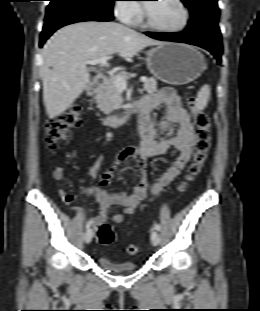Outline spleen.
<instances>
[{"instance_id": "1", "label": "spleen", "mask_w": 260, "mask_h": 311, "mask_svg": "<svg viewBox=\"0 0 260 311\" xmlns=\"http://www.w3.org/2000/svg\"><path fill=\"white\" fill-rule=\"evenodd\" d=\"M209 98H210V86L206 84L200 88L197 94V98L195 102L196 108L199 111L203 110L207 106Z\"/></svg>"}]
</instances>
